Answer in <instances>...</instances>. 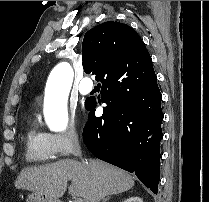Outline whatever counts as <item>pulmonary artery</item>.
I'll return each mask as SVG.
<instances>
[{"label":"pulmonary artery","mask_w":209,"mask_h":202,"mask_svg":"<svg viewBox=\"0 0 209 202\" xmlns=\"http://www.w3.org/2000/svg\"><path fill=\"white\" fill-rule=\"evenodd\" d=\"M93 87L91 79H86L82 84H81V93L82 94H87L88 92L91 91Z\"/></svg>","instance_id":"pulmonary-artery-1"}]
</instances>
